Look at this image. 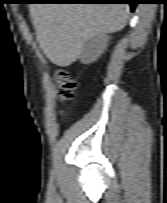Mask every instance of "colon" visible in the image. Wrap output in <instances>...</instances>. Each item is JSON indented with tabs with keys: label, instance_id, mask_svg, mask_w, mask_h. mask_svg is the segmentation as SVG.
Wrapping results in <instances>:
<instances>
[{
	"label": "colon",
	"instance_id": "obj_1",
	"mask_svg": "<svg viewBox=\"0 0 167 203\" xmlns=\"http://www.w3.org/2000/svg\"><path fill=\"white\" fill-rule=\"evenodd\" d=\"M56 82L58 86V95L62 100H70L74 96L76 82L65 70L56 72Z\"/></svg>",
	"mask_w": 167,
	"mask_h": 203
}]
</instances>
